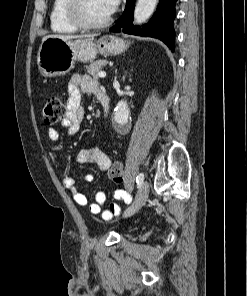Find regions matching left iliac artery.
Masks as SVG:
<instances>
[{
  "mask_svg": "<svg viewBox=\"0 0 247 296\" xmlns=\"http://www.w3.org/2000/svg\"><path fill=\"white\" fill-rule=\"evenodd\" d=\"M144 180V174L143 173H140L137 177H136V183L137 184H140L142 183Z\"/></svg>",
  "mask_w": 247,
  "mask_h": 296,
  "instance_id": "obj_1",
  "label": "left iliac artery"
}]
</instances>
